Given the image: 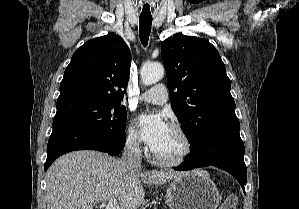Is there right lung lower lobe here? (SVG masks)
<instances>
[{"mask_svg":"<svg viewBox=\"0 0 299 209\" xmlns=\"http://www.w3.org/2000/svg\"><path fill=\"white\" fill-rule=\"evenodd\" d=\"M125 141V132L111 134L67 120L53 122L44 169L47 170L59 156L74 150H97L112 156L118 155Z\"/></svg>","mask_w":299,"mask_h":209,"instance_id":"1","label":"right lung lower lobe"}]
</instances>
